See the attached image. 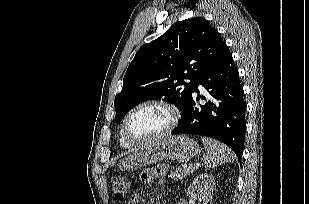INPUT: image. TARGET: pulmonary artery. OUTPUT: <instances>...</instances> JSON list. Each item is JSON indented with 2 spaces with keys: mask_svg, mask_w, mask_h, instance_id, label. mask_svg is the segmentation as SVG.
<instances>
[{
  "mask_svg": "<svg viewBox=\"0 0 309 204\" xmlns=\"http://www.w3.org/2000/svg\"><path fill=\"white\" fill-rule=\"evenodd\" d=\"M199 89H200V90H203V87H202L201 85H199Z\"/></svg>",
  "mask_w": 309,
  "mask_h": 204,
  "instance_id": "pulmonary-artery-1",
  "label": "pulmonary artery"
}]
</instances>
